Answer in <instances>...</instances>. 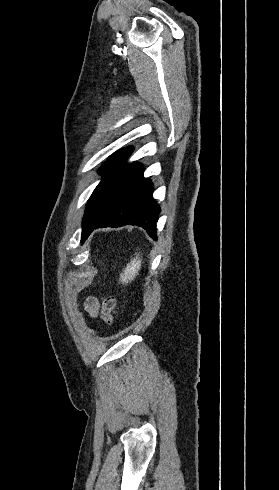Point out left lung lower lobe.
Instances as JSON below:
<instances>
[{"mask_svg": "<svg viewBox=\"0 0 279 490\" xmlns=\"http://www.w3.org/2000/svg\"><path fill=\"white\" fill-rule=\"evenodd\" d=\"M143 171L142 164H139L118 193L112 210L87 230L86 239L96 228L120 227L129 223L144 228L153 239H157L160 207L152 197L153 185L143 178Z\"/></svg>", "mask_w": 279, "mask_h": 490, "instance_id": "obj_1", "label": "left lung lower lobe"}]
</instances>
